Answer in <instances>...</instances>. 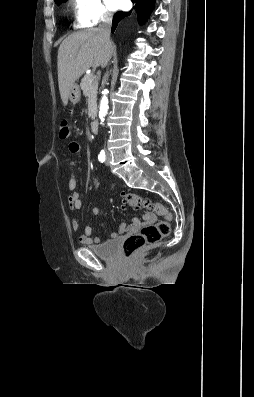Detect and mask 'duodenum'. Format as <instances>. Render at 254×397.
<instances>
[{
  "label": "duodenum",
  "mask_w": 254,
  "mask_h": 397,
  "mask_svg": "<svg viewBox=\"0 0 254 397\" xmlns=\"http://www.w3.org/2000/svg\"><path fill=\"white\" fill-rule=\"evenodd\" d=\"M90 127H91V131H92L93 133H97V132H98V129H99L98 121H97V120H93V121L91 122Z\"/></svg>",
  "instance_id": "obj_1"
}]
</instances>
